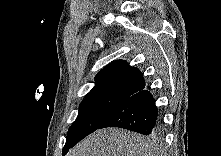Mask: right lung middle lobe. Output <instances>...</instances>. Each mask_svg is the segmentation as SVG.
Segmentation results:
<instances>
[{
    "label": "right lung middle lobe",
    "instance_id": "1",
    "mask_svg": "<svg viewBox=\"0 0 221 156\" xmlns=\"http://www.w3.org/2000/svg\"><path fill=\"white\" fill-rule=\"evenodd\" d=\"M124 101L118 98H85L79 106V114L76 120L68 130L62 156L77 142L99 129L114 109Z\"/></svg>",
    "mask_w": 221,
    "mask_h": 156
}]
</instances>
